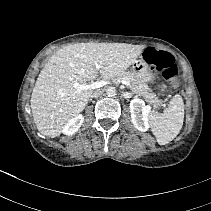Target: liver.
<instances>
[{"instance_id": "1", "label": "liver", "mask_w": 211, "mask_h": 211, "mask_svg": "<svg viewBox=\"0 0 211 211\" xmlns=\"http://www.w3.org/2000/svg\"><path fill=\"white\" fill-rule=\"evenodd\" d=\"M144 48L127 43H76L53 54L41 70L30 100L40 133L58 137L64 126L84 110L94 90L78 91L75 83L86 84L99 74L105 81L115 78Z\"/></svg>"}]
</instances>
